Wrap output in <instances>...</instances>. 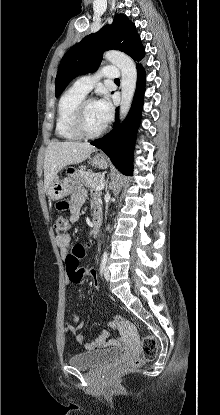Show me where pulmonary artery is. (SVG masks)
<instances>
[{"mask_svg": "<svg viewBox=\"0 0 220 415\" xmlns=\"http://www.w3.org/2000/svg\"><path fill=\"white\" fill-rule=\"evenodd\" d=\"M119 75L120 71L116 66L107 65L103 68L101 73L86 75L78 78L72 87L83 94H87L100 80L101 76L111 79L117 78Z\"/></svg>", "mask_w": 220, "mask_h": 415, "instance_id": "e3ab8cb5", "label": "pulmonary artery"}]
</instances>
